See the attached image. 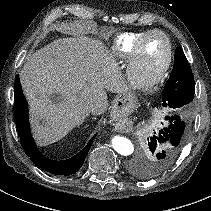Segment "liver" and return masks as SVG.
<instances>
[{
  "instance_id": "obj_1",
  "label": "liver",
  "mask_w": 211,
  "mask_h": 211,
  "mask_svg": "<svg viewBox=\"0 0 211 211\" xmlns=\"http://www.w3.org/2000/svg\"><path fill=\"white\" fill-rule=\"evenodd\" d=\"M20 80L40 146L65 137L90 112L104 113L109 104L105 89L119 94L130 91L113 55L100 41L85 36L60 38L36 51L23 66ZM55 94L56 103L51 100Z\"/></svg>"
}]
</instances>
